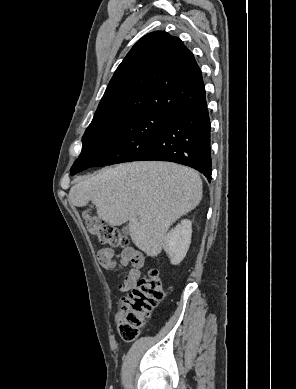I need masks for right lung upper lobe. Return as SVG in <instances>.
<instances>
[{"label": "right lung upper lobe", "instance_id": "right-lung-upper-lobe-1", "mask_svg": "<svg viewBox=\"0 0 296 389\" xmlns=\"http://www.w3.org/2000/svg\"><path fill=\"white\" fill-rule=\"evenodd\" d=\"M206 102L202 73L183 42L163 31L142 37L115 71L94 118L112 113L174 117Z\"/></svg>", "mask_w": 296, "mask_h": 389}]
</instances>
